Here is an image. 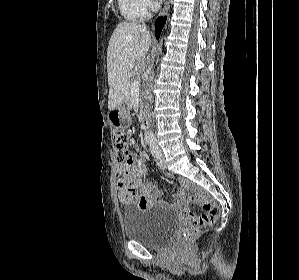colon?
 <instances>
[{"label": "colon", "instance_id": "colon-1", "mask_svg": "<svg viewBox=\"0 0 299 280\" xmlns=\"http://www.w3.org/2000/svg\"><path fill=\"white\" fill-rule=\"evenodd\" d=\"M116 161L120 169L129 167L132 164L133 156L128 149L129 136L126 131L116 129L113 134ZM188 188L193 189V185L188 183ZM191 200L204 208L201 215L185 213L182 218V237L184 241L190 240L197 235L200 230L207 225L212 224L219 216V209L216 204L200 193L191 196Z\"/></svg>", "mask_w": 299, "mask_h": 280}]
</instances>
